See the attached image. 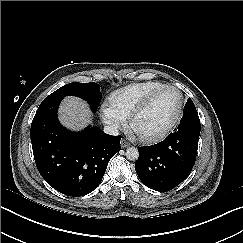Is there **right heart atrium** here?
I'll list each match as a JSON object with an SVG mask.
<instances>
[{"mask_svg":"<svg viewBox=\"0 0 243 243\" xmlns=\"http://www.w3.org/2000/svg\"><path fill=\"white\" fill-rule=\"evenodd\" d=\"M101 117L103 122L108 125L112 130L121 128L124 124V118L117 115L107 106H103L101 110Z\"/></svg>","mask_w":243,"mask_h":243,"instance_id":"obj_1","label":"right heart atrium"}]
</instances>
